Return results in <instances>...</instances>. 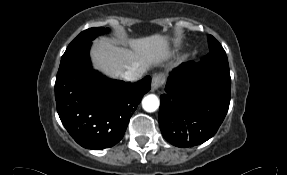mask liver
<instances>
[{"mask_svg":"<svg viewBox=\"0 0 287 175\" xmlns=\"http://www.w3.org/2000/svg\"><path fill=\"white\" fill-rule=\"evenodd\" d=\"M129 45L131 49L116 46L106 38L96 40L91 51L95 68L114 78L128 70L139 71L141 76L170 56L167 36L131 39Z\"/></svg>","mask_w":287,"mask_h":175,"instance_id":"liver-1","label":"liver"}]
</instances>
